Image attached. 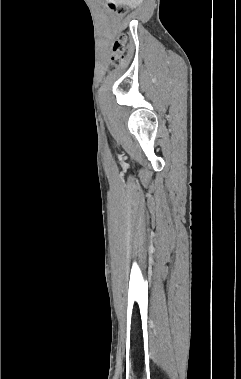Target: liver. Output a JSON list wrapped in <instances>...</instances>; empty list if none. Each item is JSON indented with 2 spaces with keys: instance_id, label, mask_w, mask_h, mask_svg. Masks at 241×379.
Wrapping results in <instances>:
<instances>
[{
  "instance_id": "6515ba94",
  "label": "liver",
  "mask_w": 241,
  "mask_h": 379,
  "mask_svg": "<svg viewBox=\"0 0 241 379\" xmlns=\"http://www.w3.org/2000/svg\"><path fill=\"white\" fill-rule=\"evenodd\" d=\"M112 1L118 5H128V6H133L137 3V0H108Z\"/></svg>"
}]
</instances>
